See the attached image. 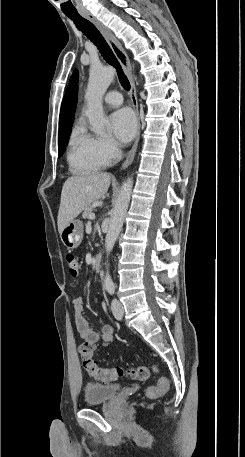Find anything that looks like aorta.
Wrapping results in <instances>:
<instances>
[{
	"label": "aorta",
	"instance_id": "obj_1",
	"mask_svg": "<svg viewBox=\"0 0 245 457\" xmlns=\"http://www.w3.org/2000/svg\"><path fill=\"white\" fill-rule=\"evenodd\" d=\"M114 69L112 67L93 66L90 69L89 82L86 90V116L92 127V130L97 133H103L108 124V120L104 115L102 98L107 88L114 79ZM133 187V179L128 178L122 185L117 197L115 206L112 210L109 228L105 238V249L107 256L111 253L114 244L122 229L125 214L127 212ZM105 285H112L113 281L109 274V264H106V272L104 277Z\"/></svg>",
	"mask_w": 245,
	"mask_h": 457
}]
</instances>
